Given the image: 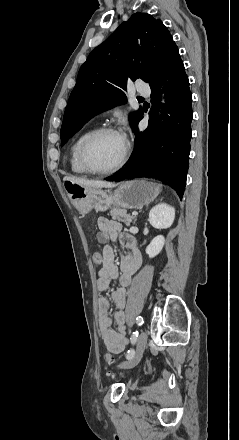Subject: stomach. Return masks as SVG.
<instances>
[{"instance_id": "obj_1", "label": "stomach", "mask_w": 239, "mask_h": 440, "mask_svg": "<svg viewBox=\"0 0 239 440\" xmlns=\"http://www.w3.org/2000/svg\"><path fill=\"white\" fill-rule=\"evenodd\" d=\"M66 192L70 200H73L78 212L88 214L93 208L96 212H106L111 206L142 208L157 198L161 192V186L154 182H147V180H130L118 186L113 194H107L99 188H81L79 184L69 182Z\"/></svg>"}]
</instances>
